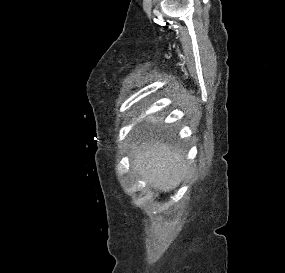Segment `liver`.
<instances>
[{
    "label": "liver",
    "mask_w": 285,
    "mask_h": 273,
    "mask_svg": "<svg viewBox=\"0 0 285 273\" xmlns=\"http://www.w3.org/2000/svg\"><path fill=\"white\" fill-rule=\"evenodd\" d=\"M132 158L135 171L162 192L174 190L187 171L184 155L159 142L134 147Z\"/></svg>",
    "instance_id": "6515ba94"
}]
</instances>
